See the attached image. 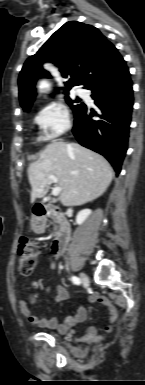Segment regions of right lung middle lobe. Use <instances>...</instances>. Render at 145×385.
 <instances>
[{"label":"right lung middle lobe","mask_w":145,"mask_h":385,"mask_svg":"<svg viewBox=\"0 0 145 385\" xmlns=\"http://www.w3.org/2000/svg\"><path fill=\"white\" fill-rule=\"evenodd\" d=\"M65 100L66 102L69 104V106L71 107V109L73 110L74 114L82 107L83 103L79 104V105H74L73 103L74 102H80V99H77L75 101H72L69 97H68V93H66V97H65Z\"/></svg>","instance_id":"right-lung-middle-lobe-1"}]
</instances>
